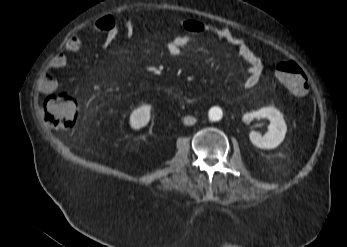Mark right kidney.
Here are the masks:
<instances>
[{
    "label": "right kidney",
    "mask_w": 347,
    "mask_h": 247,
    "mask_svg": "<svg viewBox=\"0 0 347 247\" xmlns=\"http://www.w3.org/2000/svg\"><path fill=\"white\" fill-rule=\"evenodd\" d=\"M151 106L142 105L135 109L130 115V125L133 129H140L147 125L150 120Z\"/></svg>",
    "instance_id": "obj_1"
}]
</instances>
